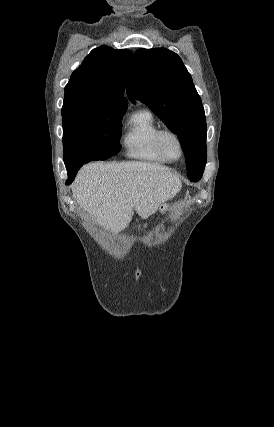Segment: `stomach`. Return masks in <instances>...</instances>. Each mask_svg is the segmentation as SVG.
Returning <instances> with one entry per match:
<instances>
[{"label": "stomach", "mask_w": 274, "mask_h": 427, "mask_svg": "<svg viewBox=\"0 0 274 427\" xmlns=\"http://www.w3.org/2000/svg\"><path fill=\"white\" fill-rule=\"evenodd\" d=\"M160 210L163 212V210H165V206H160Z\"/></svg>", "instance_id": "stomach-1"}]
</instances>
